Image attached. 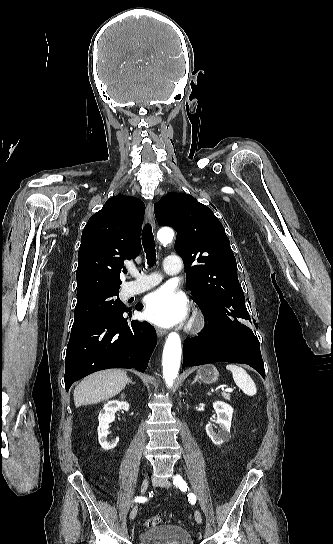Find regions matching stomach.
Returning <instances> with one entry per match:
<instances>
[{
    "label": "stomach",
    "mask_w": 333,
    "mask_h": 544,
    "mask_svg": "<svg viewBox=\"0 0 333 544\" xmlns=\"http://www.w3.org/2000/svg\"><path fill=\"white\" fill-rule=\"evenodd\" d=\"M197 377H199V379L204 383L212 384L217 382L219 372L214 365L207 364L199 368Z\"/></svg>",
    "instance_id": "obj_1"
}]
</instances>
